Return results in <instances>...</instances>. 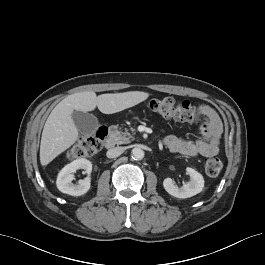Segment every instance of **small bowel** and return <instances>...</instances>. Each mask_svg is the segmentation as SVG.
<instances>
[{
    "label": "small bowel",
    "mask_w": 265,
    "mask_h": 265,
    "mask_svg": "<svg viewBox=\"0 0 265 265\" xmlns=\"http://www.w3.org/2000/svg\"><path fill=\"white\" fill-rule=\"evenodd\" d=\"M206 118L200 127V135L194 140L183 139L174 135L164 139L165 146L172 153L188 157L215 155L219 150V139L222 133V123L217 112L207 104L199 106Z\"/></svg>",
    "instance_id": "small-bowel-1"
}]
</instances>
